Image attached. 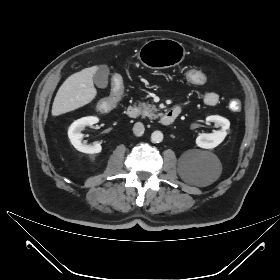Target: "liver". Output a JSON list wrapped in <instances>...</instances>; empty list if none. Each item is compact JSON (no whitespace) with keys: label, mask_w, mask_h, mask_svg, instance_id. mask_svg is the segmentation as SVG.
<instances>
[{"label":"liver","mask_w":280,"mask_h":280,"mask_svg":"<svg viewBox=\"0 0 280 280\" xmlns=\"http://www.w3.org/2000/svg\"><path fill=\"white\" fill-rule=\"evenodd\" d=\"M98 66L85 68L69 76L60 86L52 105V115L58 116L89 104L97 95L93 76Z\"/></svg>","instance_id":"1"}]
</instances>
